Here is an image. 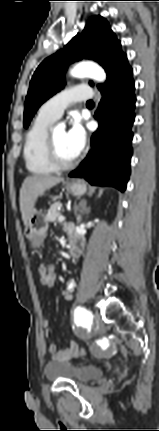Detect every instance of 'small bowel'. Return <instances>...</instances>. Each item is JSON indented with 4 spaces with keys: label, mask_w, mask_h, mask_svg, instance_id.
Wrapping results in <instances>:
<instances>
[{
    "label": "small bowel",
    "mask_w": 159,
    "mask_h": 431,
    "mask_svg": "<svg viewBox=\"0 0 159 431\" xmlns=\"http://www.w3.org/2000/svg\"><path fill=\"white\" fill-rule=\"evenodd\" d=\"M70 229V228H68ZM47 266L48 264H40L39 266V274H40V284L44 287H50L49 278L47 276ZM54 277L57 278V269L55 267L54 271ZM72 292H73V283L70 282L66 289L63 291V298L65 301H70L72 299ZM42 326L45 329L46 335H48L49 330V321L47 319H44L42 321ZM47 351L49 352L51 358L53 361L57 362H63L68 361L71 358L78 357V353H80V347L78 344L74 341H71L67 348L58 351L55 344H50L47 347Z\"/></svg>",
    "instance_id": "small-bowel-1"
}]
</instances>
